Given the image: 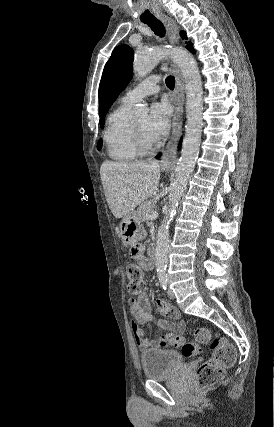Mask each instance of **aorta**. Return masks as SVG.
Listing matches in <instances>:
<instances>
[{"label": "aorta", "mask_w": 274, "mask_h": 427, "mask_svg": "<svg viewBox=\"0 0 274 427\" xmlns=\"http://www.w3.org/2000/svg\"><path fill=\"white\" fill-rule=\"evenodd\" d=\"M166 56H171L184 77L186 89V125L181 157L177 163L176 177L169 195L170 204L168 213L157 232L155 258L156 269L160 280L166 279V267L169 258L168 225L176 214V207L186 190L188 180L195 167L203 126V89L201 76L196 61L187 50L183 48L167 49L157 47L150 51L139 53L135 56L133 63L134 74L137 77H145ZM147 113L148 109L145 107L137 106L134 108V115L136 117H143Z\"/></svg>", "instance_id": "aorta-1"}]
</instances>
